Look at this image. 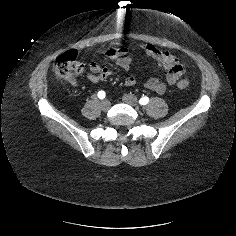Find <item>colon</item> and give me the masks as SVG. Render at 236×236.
<instances>
[{
    "mask_svg": "<svg viewBox=\"0 0 236 236\" xmlns=\"http://www.w3.org/2000/svg\"><path fill=\"white\" fill-rule=\"evenodd\" d=\"M84 64L79 61L76 51H67L56 58L53 69L55 76L63 81L75 83L76 79L83 73ZM189 86V81L186 79L180 80L177 83L179 89H185Z\"/></svg>",
    "mask_w": 236,
    "mask_h": 236,
    "instance_id": "obj_1",
    "label": "colon"
}]
</instances>
